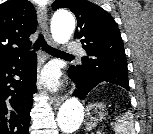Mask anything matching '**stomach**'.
<instances>
[{
  "label": "stomach",
  "mask_w": 153,
  "mask_h": 134,
  "mask_svg": "<svg viewBox=\"0 0 153 134\" xmlns=\"http://www.w3.org/2000/svg\"><path fill=\"white\" fill-rule=\"evenodd\" d=\"M107 115L105 105L102 103L90 104L87 107L86 125L89 128L97 126L98 122Z\"/></svg>",
  "instance_id": "1"
}]
</instances>
